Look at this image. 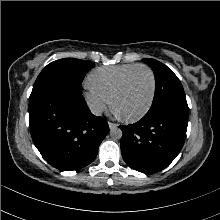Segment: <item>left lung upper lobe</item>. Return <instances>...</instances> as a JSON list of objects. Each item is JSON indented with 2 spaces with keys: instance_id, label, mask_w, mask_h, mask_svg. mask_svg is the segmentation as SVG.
Returning a JSON list of instances; mask_svg holds the SVG:
<instances>
[{
  "instance_id": "left-lung-upper-lobe-1",
  "label": "left lung upper lobe",
  "mask_w": 220,
  "mask_h": 220,
  "mask_svg": "<svg viewBox=\"0 0 220 220\" xmlns=\"http://www.w3.org/2000/svg\"><path fill=\"white\" fill-rule=\"evenodd\" d=\"M142 61L153 68L156 79L153 103L147 113L158 110H173L188 116L189 108L184 89L173 71L155 59L144 58Z\"/></svg>"
}]
</instances>
